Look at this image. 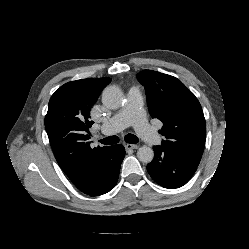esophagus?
Wrapping results in <instances>:
<instances>
[{
	"instance_id": "1",
	"label": "esophagus",
	"mask_w": 249,
	"mask_h": 249,
	"mask_svg": "<svg viewBox=\"0 0 249 249\" xmlns=\"http://www.w3.org/2000/svg\"><path fill=\"white\" fill-rule=\"evenodd\" d=\"M139 146L137 144H125V149L131 150V149H137Z\"/></svg>"
}]
</instances>
